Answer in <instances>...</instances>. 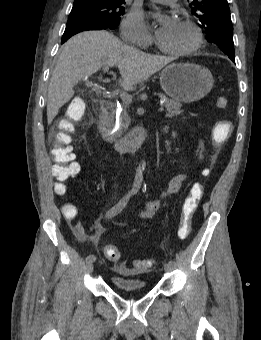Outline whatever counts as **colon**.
<instances>
[{"mask_svg": "<svg viewBox=\"0 0 261 340\" xmlns=\"http://www.w3.org/2000/svg\"><path fill=\"white\" fill-rule=\"evenodd\" d=\"M215 104L217 108L224 110L228 107V99L218 97ZM84 112L85 104L83 101L73 100L66 109L65 117L59 122L57 131L50 138L51 154L54 160L52 175L56 179L55 190L58 193H64L66 190L64 182L76 176L80 171V166L75 160L70 143L76 130L75 123L83 118ZM232 129L233 125L228 120L217 122L212 132L214 144L217 146L223 144L230 137ZM204 190L203 183L193 184L182 202L178 229V236L181 239L187 238L191 233L193 214L203 197ZM63 211L66 214H72L74 212L73 206L66 205ZM104 254L111 262H117L120 259V251L114 245H107L104 248ZM148 265H150L148 260H137L135 262V266L139 269Z\"/></svg>", "mask_w": 261, "mask_h": 340, "instance_id": "colon-1", "label": "colon"}]
</instances>
